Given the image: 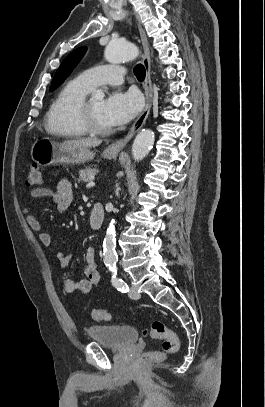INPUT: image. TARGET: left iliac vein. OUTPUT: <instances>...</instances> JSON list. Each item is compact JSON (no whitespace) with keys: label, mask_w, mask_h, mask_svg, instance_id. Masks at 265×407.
<instances>
[{"label":"left iliac vein","mask_w":265,"mask_h":407,"mask_svg":"<svg viewBox=\"0 0 265 407\" xmlns=\"http://www.w3.org/2000/svg\"><path fill=\"white\" fill-rule=\"evenodd\" d=\"M129 297L131 299H139L140 298V293L137 291V289L135 287H131L130 288V292H129Z\"/></svg>","instance_id":"left-iliac-vein-1"}]
</instances>
